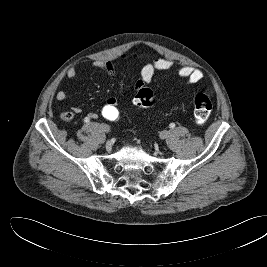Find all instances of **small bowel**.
Instances as JSON below:
<instances>
[{
	"mask_svg": "<svg viewBox=\"0 0 267 267\" xmlns=\"http://www.w3.org/2000/svg\"><path fill=\"white\" fill-rule=\"evenodd\" d=\"M122 56L121 58H123ZM172 62L168 58H158L146 63L140 70V77L136 83V87L140 88L145 84H148L153 79L155 73L166 71L170 69ZM95 66L103 71H105L109 75H113L116 71V63L114 61H107V62H97ZM179 77L186 79L189 83L194 84L200 81L203 77V73L200 69L194 68L192 66H184L178 72ZM67 76L69 78H76L77 77V70L75 67H71L68 72ZM68 95L64 91H59L56 93V99L58 101H65ZM110 100L118 103V100L115 97H110ZM75 112H80L78 107L74 108ZM90 118H96L97 114L95 112H90L88 114Z\"/></svg>",
	"mask_w": 267,
	"mask_h": 267,
	"instance_id": "c3829d8e",
	"label": "small bowel"
}]
</instances>
